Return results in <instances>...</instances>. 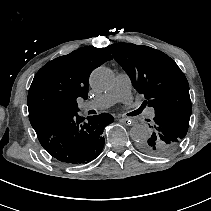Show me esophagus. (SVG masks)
Wrapping results in <instances>:
<instances>
[{
  "label": "esophagus",
  "instance_id": "obj_1",
  "mask_svg": "<svg viewBox=\"0 0 211 211\" xmlns=\"http://www.w3.org/2000/svg\"><path fill=\"white\" fill-rule=\"evenodd\" d=\"M119 122L130 124L132 119L130 117H122L118 119Z\"/></svg>",
  "mask_w": 211,
  "mask_h": 211
}]
</instances>
